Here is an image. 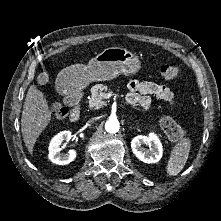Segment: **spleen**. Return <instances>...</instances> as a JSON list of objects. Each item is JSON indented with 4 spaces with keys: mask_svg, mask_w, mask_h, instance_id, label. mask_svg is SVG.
Listing matches in <instances>:
<instances>
[{
    "mask_svg": "<svg viewBox=\"0 0 221 221\" xmlns=\"http://www.w3.org/2000/svg\"><path fill=\"white\" fill-rule=\"evenodd\" d=\"M190 145V139L184 138L173 147L166 167L168 176H176L181 172L187 162Z\"/></svg>",
    "mask_w": 221,
    "mask_h": 221,
    "instance_id": "spleen-1",
    "label": "spleen"
}]
</instances>
